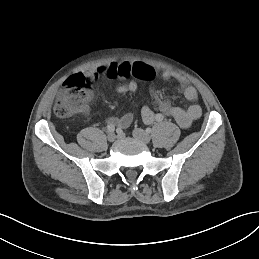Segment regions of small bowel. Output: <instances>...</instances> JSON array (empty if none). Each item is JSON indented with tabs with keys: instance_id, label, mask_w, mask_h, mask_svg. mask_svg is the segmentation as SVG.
Instances as JSON below:
<instances>
[{
	"instance_id": "c3829d8e",
	"label": "small bowel",
	"mask_w": 259,
	"mask_h": 259,
	"mask_svg": "<svg viewBox=\"0 0 259 259\" xmlns=\"http://www.w3.org/2000/svg\"><path fill=\"white\" fill-rule=\"evenodd\" d=\"M101 75H105L111 79H127L133 77L139 80L151 81L155 78V70L144 64V63H110L105 65L95 71L90 72L85 76L89 82L96 81ZM164 80H169L172 78L177 79L180 82V92L183 94L186 100L194 102L197 99V91L194 87L186 83L177 73L172 71H166L162 75ZM137 89V82L132 79L124 84L117 87L120 93L124 92H134ZM152 97L156 108L164 113L166 116L174 119L178 125L182 128H189L193 121L198 119L202 115V109L197 104H191L188 108L183 109L172 105L168 100H166L161 93L152 89ZM142 119L144 122L149 123L153 120L154 112L147 106L143 107L141 110ZM133 116L130 113H126L119 117H111L108 122L114 124L120 128L128 127L132 122Z\"/></svg>"
}]
</instances>
